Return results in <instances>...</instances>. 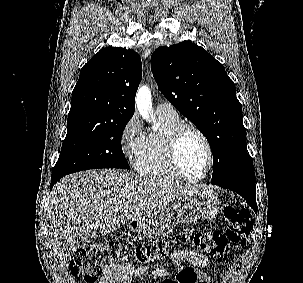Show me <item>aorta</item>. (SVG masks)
I'll use <instances>...</instances> for the list:
<instances>
[{
    "mask_svg": "<svg viewBox=\"0 0 303 283\" xmlns=\"http://www.w3.org/2000/svg\"><path fill=\"white\" fill-rule=\"evenodd\" d=\"M136 106L142 117L147 121H150L152 101H151V92L147 86H142L138 90L136 95Z\"/></svg>",
    "mask_w": 303,
    "mask_h": 283,
    "instance_id": "1",
    "label": "aorta"
}]
</instances>
